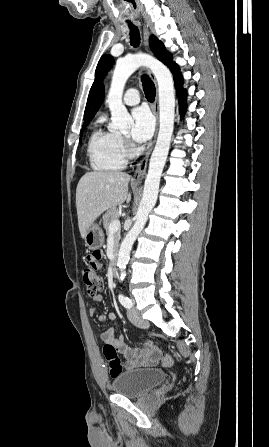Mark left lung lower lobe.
<instances>
[{
    "label": "left lung lower lobe",
    "mask_w": 269,
    "mask_h": 447,
    "mask_svg": "<svg viewBox=\"0 0 269 447\" xmlns=\"http://www.w3.org/2000/svg\"><path fill=\"white\" fill-rule=\"evenodd\" d=\"M169 68L174 76L175 87H176L177 96H178V100H179V104H180V114L183 115L185 108H186L185 101H186V96H187L186 90L183 89V79H182L181 73L179 71V67L176 63H173Z\"/></svg>",
    "instance_id": "obj_1"
}]
</instances>
